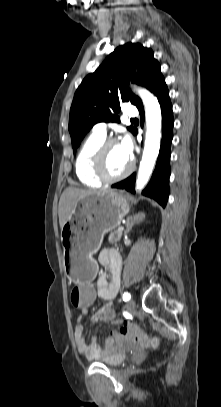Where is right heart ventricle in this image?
Here are the masks:
<instances>
[{
    "label": "right heart ventricle",
    "instance_id": "e07e8e85",
    "mask_svg": "<svg viewBox=\"0 0 221 407\" xmlns=\"http://www.w3.org/2000/svg\"><path fill=\"white\" fill-rule=\"evenodd\" d=\"M104 140L105 136L93 132L85 139L78 151L75 172L78 180L85 186L98 187L102 183L92 172V160Z\"/></svg>",
    "mask_w": 221,
    "mask_h": 407
}]
</instances>
